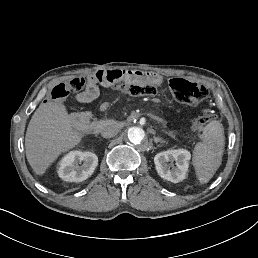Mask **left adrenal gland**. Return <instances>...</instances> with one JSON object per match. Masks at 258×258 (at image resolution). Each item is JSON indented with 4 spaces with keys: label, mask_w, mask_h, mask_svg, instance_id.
I'll list each match as a JSON object with an SVG mask.
<instances>
[{
    "label": "left adrenal gland",
    "mask_w": 258,
    "mask_h": 258,
    "mask_svg": "<svg viewBox=\"0 0 258 258\" xmlns=\"http://www.w3.org/2000/svg\"><path fill=\"white\" fill-rule=\"evenodd\" d=\"M153 140H154L155 143H157V142L164 143V142H165V140H163V138H161V137H156V136H153Z\"/></svg>",
    "instance_id": "a2214340"
}]
</instances>
